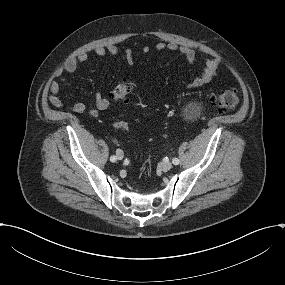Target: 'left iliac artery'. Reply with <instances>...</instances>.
Returning a JSON list of instances; mask_svg holds the SVG:
<instances>
[{
    "instance_id": "44dca946",
    "label": "left iliac artery",
    "mask_w": 285,
    "mask_h": 285,
    "mask_svg": "<svg viewBox=\"0 0 285 285\" xmlns=\"http://www.w3.org/2000/svg\"><path fill=\"white\" fill-rule=\"evenodd\" d=\"M179 159L178 158H174L173 160H172V163L174 164V165H178L179 164Z\"/></svg>"
}]
</instances>
